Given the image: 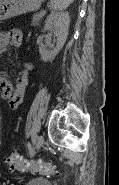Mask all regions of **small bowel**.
<instances>
[{
  "mask_svg": "<svg viewBox=\"0 0 119 185\" xmlns=\"http://www.w3.org/2000/svg\"><path fill=\"white\" fill-rule=\"evenodd\" d=\"M21 42L22 32L19 29L4 31L0 34V48L2 52L8 51L13 46H20ZM31 69L32 65L26 63L24 70L20 72L14 85L10 83L5 77V73L2 72L0 80L1 96L11 108H15L21 103L29 82V72Z\"/></svg>",
  "mask_w": 119,
  "mask_h": 185,
  "instance_id": "obj_1",
  "label": "small bowel"
}]
</instances>
